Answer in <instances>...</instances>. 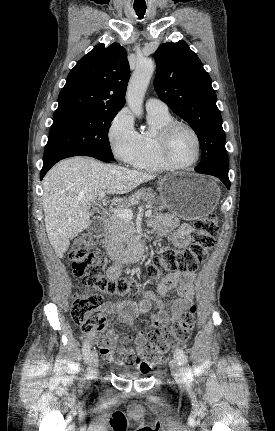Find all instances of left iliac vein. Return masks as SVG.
Returning <instances> with one entry per match:
<instances>
[{
	"mask_svg": "<svg viewBox=\"0 0 275 431\" xmlns=\"http://www.w3.org/2000/svg\"><path fill=\"white\" fill-rule=\"evenodd\" d=\"M170 368H171V371H172V374H173L175 380L180 384L183 383L184 382V374H183L181 368L179 367V365L175 359H172L170 361Z\"/></svg>",
	"mask_w": 275,
	"mask_h": 431,
	"instance_id": "obj_1",
	"label": "left iliac vein"
}]
</instances>
